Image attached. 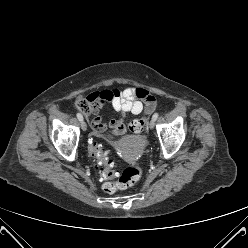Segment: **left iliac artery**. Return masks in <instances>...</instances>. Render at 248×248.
Segmentation results:
<instances>
[{
  "label": "left iliac artery",
  "instance_id": "left-iliac-artery-1",
  "mask_svg": "<svg viewBox=\"0 0 248 248\" xmlns=\"http://www.w3.org/2000/svg\"><path fill=\"white\" fill-rule=\"evenodd\" d=\"M158 116H159V114H158V113H155V114L152 116V119L156 121L157 118H158Z\"/></svg>",
  "mask_w": 248,
  "mask_h": 248
}]
</instances>
